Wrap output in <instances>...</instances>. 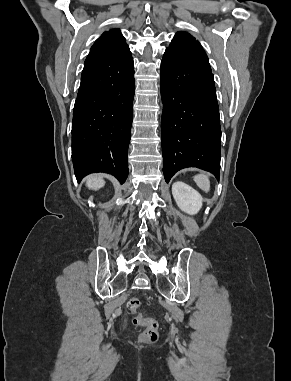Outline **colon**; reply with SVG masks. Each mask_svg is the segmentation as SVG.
<instances>
[{"label":"colon","instance_id":"5ec220e1","mask_svg":"<svg viewBox=\"0 0 291 381\" xmlns=\"http://www.w3.org/2000/svg\"><path fill=\"white\" fill-rule=\"evenodd\" d=\"M140 307V300L136 297H133L129 299L127 302V308L130 313L136 314L138 312V309ZM133 323L136 326H142L144 327V330L141 334L142 340L154 343L158 338V323L155 319L144 317L141 314H137L134 319Z\"/></svg>","mask_w":291,"mask_h":381}]
</instances>
